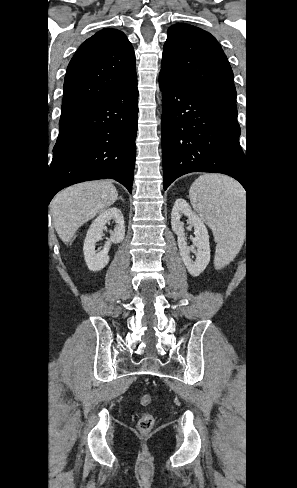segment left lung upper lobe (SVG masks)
I'll return each instance as SVG.
<instances>
[{"mask_svg": "<svg viewBox=\"0 0 297 488\" xmlns=\"http://www.w3.org/2000/svg\"><path fill=\"white\" fill-rule=\"evenodd\" d=\"M160 73L185 91L237 117L233 72L217 40L184 23L172 25L164 44Z\"/></svg>", "mask_w": 297, "mask_h": 488, "instance_id": "obj_1", "label": "left lung upper lobe"}]
</instances>
